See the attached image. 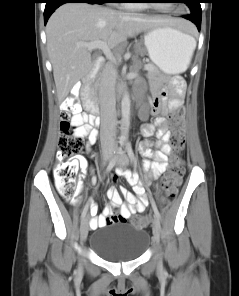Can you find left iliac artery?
<instances>
[{"label": "left iliac artery", "mask_w": 239, "mask_h": 296, "mask_svg": "<svg viewBox=\"0 0 239 296\" xmlns=\"http://www.w3.org/2000/svg\"><path fill=\"white\" fill-rule=\"evenodd\" d=\"M126 149H127V152H128V155H129L131 161H133L134 164L136 165L135 156H134L133 150L131 148V145L129 143L126 145ZM150 201H151V205H152V208L154 210L155 216L160 220V218H161L160 213H159V211L157 209V206L155 204L153 196H150Z\"/></svg>", "instance_id": "obj_1"}]
</instances>
